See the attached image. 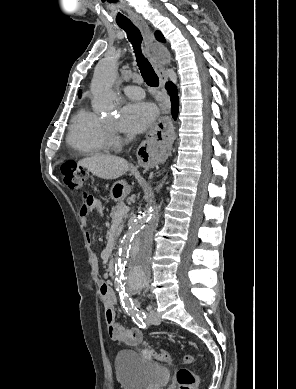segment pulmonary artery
<instances>
[{
	"instance_id": "obj_1",
	"label": "pulmonary artery",
	"mask_w": 296,
	"mask_h": 389,
	"mask_svg": "<svg viewBox=\"0 0 296 389\" xmlns=\"http://www.w3.org/2000/svg\"><path fill=\"white\" fill-rule=\"evenodd\" d=\"M123 92L126 96L132 99H141L144 97V91L138 86L128 85L123 88Z\"/></svg>"
}]
</instances>
